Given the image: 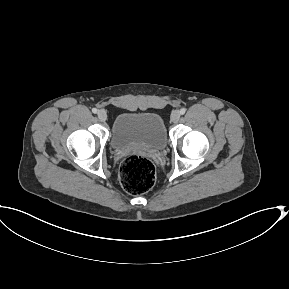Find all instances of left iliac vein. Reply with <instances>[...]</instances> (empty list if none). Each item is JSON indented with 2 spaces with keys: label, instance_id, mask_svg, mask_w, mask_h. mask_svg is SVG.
<instances>
[{
  "label": "left iliac vein",
  "instance_id": "obj_1",
  "mask_svg": "<svg viewBox=\"0 0 289 289\" xmlns=\"http://www.w3.org/2000/svg\"><path fill=\"white\" fill-rule=\"evenodd\" d=\"M180 112L179 111H174L172 114H171V121L173 123H177L180 119Z\"/></svg>",
  "mask_w": 289,
  "mask_h": 289
}]
</instances>
